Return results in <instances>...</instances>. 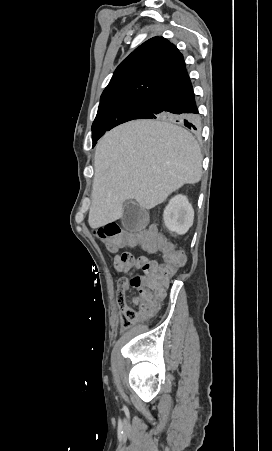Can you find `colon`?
Segmentation results:
<instances>
[{
  "label": "colon",
  "mask_w": 272,
  "mask_h": 451,
  "mask_svg": "<svg viewBox=\"0 0 272 451\" xmlns=\"http://www.w3.org/2000/svg\"><path fill=\"white\" fill-rule=\"evenodd\" d=\"M96 238L107 245L109 250L148 249V256H161L164 249V264L158 265L156 258L146 261L136 258L131 252L123 251L119 258L113 260V265L120 270H133L136 267L143 274H133L129 280V289H139L135 294V303H141L142 310H155L166 300L164 290L171 282L174 271L183 269L182 260H186L187 253L182 247H171L170 240H164L160 230H126L121 224L109 222L95 231ZM134 309H126L123 314V324L128 328L136 319Z\"/></svg>",
  "instance_id": "colon-1"
}]
</instances>
